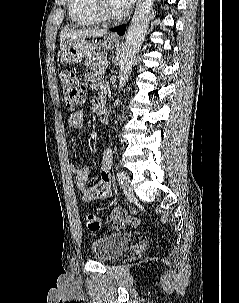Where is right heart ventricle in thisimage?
I'll return each instance as SVG.
<instances>
[{
  "mask_svg": "<svg viewBox=\"0 0 239 303\" xmlns=\"http://www.w3.org/2000/svg\"><path fill=\"white\" fill-rule=\"evenodd\" d=\"M67 9L70 20L77 26H94L100 19L92 10L91 0H67Z\"/></svg>",
  "mask_w": 239,
  "mask_h": 303,
  "instance_id": "right-heart-ventricle-1",
  "label": "right heart ventricle"
}]
</instances>
